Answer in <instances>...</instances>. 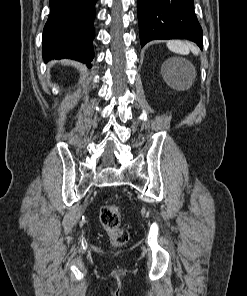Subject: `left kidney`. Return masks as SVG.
Here are the masks:
<instances>
[{"label": "left kidney", "instance_id": "5707ae66", "mask_svg": "<svg viewBox=\"0 0 247 296\" xmlns=\"http://www.w3.org/2000/svg\"><path fill=\"white\" fill-rule=\"evenodd\" d=\"M178 60H169L167 61V64L171 67V68H177L180 66V64L178 63Z\"/></svg>", "mask_w": 247, "mask_h": 296}]
</instances>
